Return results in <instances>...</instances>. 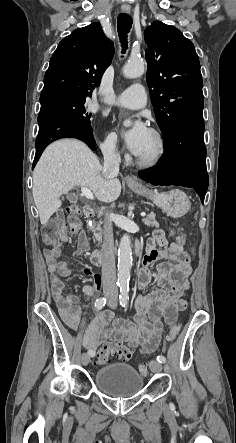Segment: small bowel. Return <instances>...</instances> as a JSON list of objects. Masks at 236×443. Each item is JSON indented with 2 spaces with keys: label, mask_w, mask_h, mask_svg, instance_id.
Returning a JSON list of instances; mask_svg holds the SVG:
<instances>
[{
  "label": "small bowel",
  "mask_w": 236,
  "mask_h": 443,
  "mask_svg": "<svg viewBox=\"0 0 236 443\" xmlns=\"http://www.w3.org/2000/svg\"><path fill=\"white\" fill-rule=\"evenodd\" d=\"M61 240L68 242L67 235L64 234ZM145 247L143 267L137 275L138 287L144 289L148 286L154 278L151 265L159 258H165L168 261L162 262L157 268L160 288L137 296L133 322L115 319L111 311L97 313L83 334V344L90 351L95 352L101 342L112 340L127 343L131 348H141L144 353H151L157 348L164 323L174 324L178 312L185 309L188 278L192 273L188 254L182 245L176 242L168 244L161 229L154 231L153 238L146 242ZM87 250L88 241L81 232L78 235V249L73 256L80 259L86 255ZM60 253V248H50L44 254L50 285L61 317L70 329L77 331L81 316L80 297L64 294L65 283L62 277L71 275L73 270L66 261L58 259ZM82 272L93 279V285H85L83 292L87 297L96 296L102 289L100 275L90 268H83Z\"/></svg>",
  "instance_id": "small-bowel-1"
}]
</instances>
